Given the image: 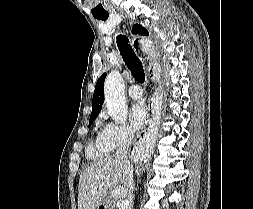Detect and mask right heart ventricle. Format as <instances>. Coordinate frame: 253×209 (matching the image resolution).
I'll return each mask as SVG.
<instances>
[{"label":"right heart ventricle","mask_w":253,"mask_h":209,"mask_svg":"<svg viewBox=\"0 0 253 209\" xmlns=\"http://www.w3.org/2000/svg\"><path fill=\"white\" fill-rule=\"evenodd\" d=\"M109 151L110 149L104 145L100 136L96 138L95 142H90L87 148V154L91 158L103 157L108 154Z\"/></svg>","instance_id":"obj_1"}]
</instances>
